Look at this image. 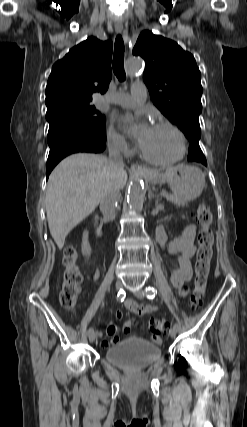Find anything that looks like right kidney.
<instances>
[{
  "label": "right kidney",
  "instance_id": "obj_1",
  "mask_svg": "<svg viewBox=\"0 0 247 427\" xmlns=\"http://www.w3.org/2000/svg\"><path fill=\"white\" fill-rule=\"evenodd\" d=\"M81 248H82V254L86 257H90L91 247L88 242V231H84L83 233Z\"/></svg>",
  "mask_w": 247,
  "mask_h": 427
}]
</instances>
